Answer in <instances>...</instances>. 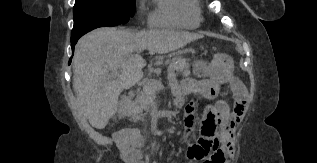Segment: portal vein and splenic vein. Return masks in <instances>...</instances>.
Returning a JSON list of instances; mask_svg holds the SVG:
<instances>
[{
	"label": "portal vein and splenic vein",
	"mask_w": 317,
	"mask_h": 163,
	"mask_svg": "<svg viewBox=\"0 0 317 163\" xmlns=\"http://www.w3.org/2000/svg\"><path fill=\"white\" fill-rule=\"evenodd\" d=\"M169 75L171 77H174V73L173 72H170ZM149 87H151L152 89H155V90H162L164 88L163 84L161 81L159 80H150L149 81Z\"/></svg>",
	"instance_id": "obj_1"
}]
</instances>
